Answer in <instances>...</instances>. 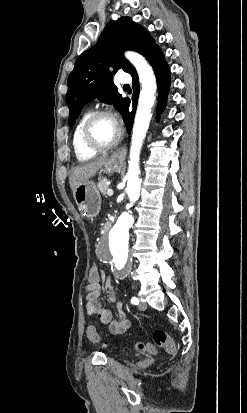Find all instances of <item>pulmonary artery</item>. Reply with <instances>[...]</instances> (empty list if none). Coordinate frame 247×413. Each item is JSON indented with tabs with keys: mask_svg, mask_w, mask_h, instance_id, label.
<instances>
[{
	"mask_svg": "<svg viewBox=\"0 0 247 413\" xmlns=\"http://www.w3.org/2000/svg\"><path fill=\"white\" fill-rule=\"evenodd\" d=\"M119 75L120 76H117V77H115V82H117V85L118 86H125V87H128L130 84L132 85V80L130 81L129 80V76L128 75H126V70L125 69H120L119 70Z\"/></svg>",
	"mask_w": 247,
	"mask_h": 413,
	"instance_id": "obj_1",
	"label": "pulmonary artery"
}]
</instances>
